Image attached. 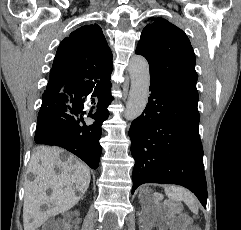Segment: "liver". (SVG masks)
<instances>
[{
	"label": "liver",
	"mask_w": 241,
	"mask_h": 230,
	"mask_svg": "<svg viewBox=\"0 0 241 230\" xmlns=\"http://www.w3.org/2000/svg\"><path fill=\"white\" fill-rule=\"evenodd\" d=\"M63 150L57 147H37L32 153L28 171L35 175L33 181L25 185L23 205L24 230H36L50 216L68 211L80 200L90 184L89 168L73 155L62 159ZM55 167H59L57 174ZM50 188V197L44 191ZM79 192V195L77 194ZM43 204L51 205L42 211Z\"/></svg>",
	"instance_id": "obj_1"
}]
</instances>
